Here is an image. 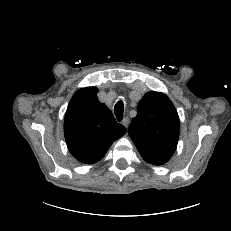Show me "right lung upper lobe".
<instances>
[{
  "label": "right lung upper lobe",
  "instance_id": "right-lung-upper-lobe-1",
  "mask_svg": "<svg viewBox=\"0 0 231 231\" xmlns=\"http://www.w3.org/2000/svg\"><path fill=\"white\" fill-rule=\"evenodd\" d=\"M96 87L78 90L70 100L64 134L71 154L80 162L92 164L108 151L112 143L126 133L112 112L97 98Z\"/></svg>",
  "mask_w": 231,
  "mask_h": 231
}]
</instances>
